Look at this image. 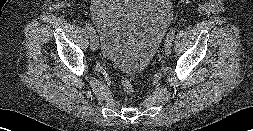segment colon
<instances>
[{"mask_svg": "<svg viewBox=\"0 0 253 131\" xmlns=\"http://www.w3.org/2000/svg\"><path fill=\"white\" fill-rule=\"evenodd\" d=\"M120 82L121 87L126 94L132 95L134 93V86L128 78L122 76Z\"/></svg>", "mask_w": 253, "mask_h": 131, "instance_id": "5ec220e1", "label": "colon"}]
</instances>
